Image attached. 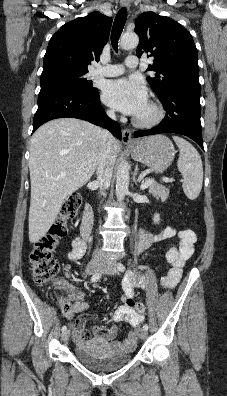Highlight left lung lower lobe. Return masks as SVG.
<instances>
[{
	"label": "left lung lower lobe",
	"mask_w": 227,
	"mask_h": 396,
	"mask_svg": "<svg viewBox=\"0 0 227 396\" xmlns=\"http://www.w3.org/2000/svg\"><path fill=\"white\" fill-rule=\"evenodd\" d=\"M200 95L201 88L198 87L169 90L164 97L159 98L166 109V117L152 129L136 131L134 137L177 133L188 136L204 149L200 122Z\"/></svg>",
	"instance_id": "1"
}]
</instances>
